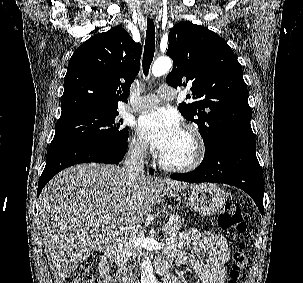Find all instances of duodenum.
Listing matches in <instances>:
<instances>
[{"label": "duodenum", "instance_id": "duodenum-1", "mask_svg": "<svg viewBox=\"0 0 303 283\" xmlns=\"http://www.w3.org/2000/svg\"><path fill=\"white\" fill-rule=\"evenodd\" d=\"M116 256V251L113 248L107 249V257L114 258ZM155 269L157 272L164 276V283H174L173 279H169V261L163 259L155 264ZM166 278V279H165ZM121 283H133V280L130 279L127 275L121 277Z\"/></svg>", "mask_w": 303, "mask_h": 283}]
</instances>
